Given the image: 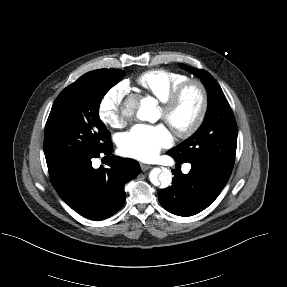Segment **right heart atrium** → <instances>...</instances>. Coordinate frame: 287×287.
<instances>
[{"mask_svg": "<svg viewBox=\"0 0 287 287\" xmlns=\"http://www.w3.org/2000/svg\"><path fill=\"white\" fill-rule=\"evenodd\" d=\"M128 91V85L120 82L103 95L98 105V116L105 125L112 128H119L123 125L124 117L121 107Z\"/></svg>", "mask_w": 287, "mask_h": 287, "instance_id": "d8ad5b80", "label": "right heart atrium"}]
</instances>
